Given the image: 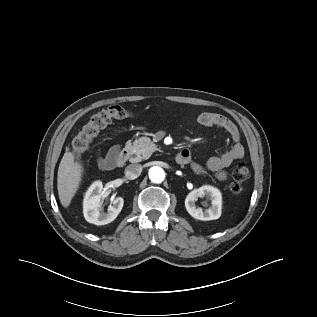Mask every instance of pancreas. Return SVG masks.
Listing matches in <instances>:
<instances>
[{"mask_svg":"<svg viewBox=\"0 0 317 317\" xmlns=\"http://www.w3.org/2000/svg\"><path fill=\"white\" fill-rule=\"evenodd\" d=\"M126 148L130 153V161L140 162L150 158L153 152L157 150V146L151 141L149 137H141L133 143L128 141Z\"/></svg>","mask_w":317,"mask_h":317,"instance_id":"obj_1","label":"pancreas"}]
</instances>
